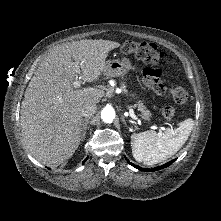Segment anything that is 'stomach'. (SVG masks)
I'll return each instance as SVG.
<instances>
[{"instance_id": "1", "label": "stomach", "mask_w": 221, "mask_h": 221, "mask_svg": "<svg viewBox=\"0 0 221 221\" xmlns=\"http://www.w3.org/2000/svg\"><path fill=\"white\" fill-rule=\"evenodd\" d=\"M132 62L129 58L109 60L105 63L104 73L111 77H121L126 75L130 70H134Z\"/></svg>"}]
</instances>
